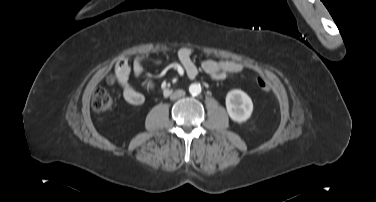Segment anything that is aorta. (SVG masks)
Listing matches in <instances>:
<instances>
[{
    "label": "aorta",
    "mask_w": 376,
    "mask_h": 202,
    "mask_svg": "<svg viewBox=\"0 0 376 202\" xmlns=\"http://www.w3.org/2000/svg\"><path fill=\"white\" fill-rule=\"evenodd\" d=\"M190 94L197 96L201 93V85L199 83H193L189 86Z\"/></svg>",
    "instance_id": "aorta-1"
}]
</instances>
